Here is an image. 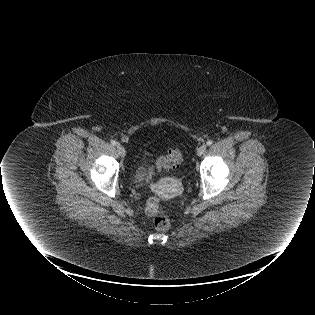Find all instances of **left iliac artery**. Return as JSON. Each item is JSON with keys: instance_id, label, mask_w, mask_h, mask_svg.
Masks as SVG:
<instances>
[{"instance_id": "1", "label": "left iliac artery", "mask_w": 315, "mask_h": 315, "mask_svg": "<svg viewBox=\"0 0 315 315\" xmlns=\"http://www.w3.org/2000/svg\"><path fill=\"white\" fill-rule=\"evenodd\" d=\"M212 144H213V141H212V140H208V141H207V145H208V146H210V145H212Z\"/></svg>"}]
</instances>
